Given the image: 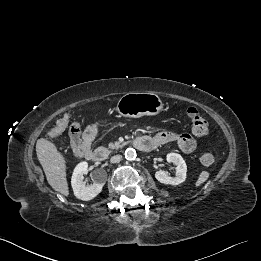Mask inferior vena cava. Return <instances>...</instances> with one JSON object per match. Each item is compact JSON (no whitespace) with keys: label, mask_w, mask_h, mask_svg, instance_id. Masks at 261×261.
<instances>
[{"label":"inferior vena cava","mask_w":261,"mask_h":261,"mask_svg":"<svg viewBox=\"0 0 261 261\" xmlns=\"http://www.w3.org/2000/svg\"><path fill=\"white\" fill-rule=\"evenodd\" d=\"M122 159V156L121 155H115V156H112L111 159H110V162L111 163H119Z\"/></svg>","instance_id":"inferior-vena-cava-1"}]
</instances>
